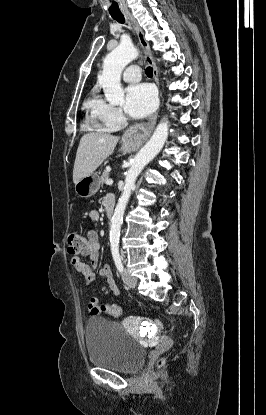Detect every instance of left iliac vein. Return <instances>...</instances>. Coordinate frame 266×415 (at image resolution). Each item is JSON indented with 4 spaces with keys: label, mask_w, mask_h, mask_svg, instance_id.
<instances>
[{
    "label": "left iliac vein",
    "mask_w": 266,
    "mask_h": 415,
    "mask_svg": "<svg viewBox=\"0 0 266 415\" xmlns=\"http://www.w3.org/2000/svg\"><path fill=\"white\" fill-rule=\"evenodd\" d=\"M123 282L130 288H135L137 285V279L132 276L127 270L122 272Z\"/></svg>",
    "instance_id": "1"
}]
</instances>
